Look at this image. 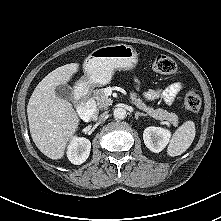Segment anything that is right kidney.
Wrapping results in <instances>:
<instances>
[{"instance_id": "1", "label": "right kidney", "mask_w": 221, "mask_h": 221, "mask_svg": "<svg viewBox=\"0 0 221 221\" xmlns=\"http://www.w3.org/2000/svg\"><path fill=\"white\" fill-rule=\"evenodd\" d=\"M91 142L83 137H73L68 145L67 157L75 165L84 163L89 157Z\"/></svg>"}]
</instances>
